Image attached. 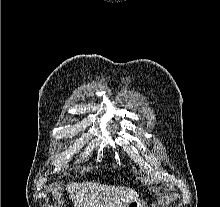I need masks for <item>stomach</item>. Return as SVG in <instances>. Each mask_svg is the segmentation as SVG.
<instances>
[{
  "instance_id": "1",
  "label": "stomach",
  "mask_w": 220,
  "mask_h": 207,
  "mask_svg": "<svg viewBox=\"0 0 220 207\" xmlns=\"http://www.w3.org/2000/svg\"><path fill=\"white\" fill-rule=\"evenodd\" d=\"M127 207H145V206H144V202L137 198L134 201L130 202Z\"/></svg>"
}]
</instances>
